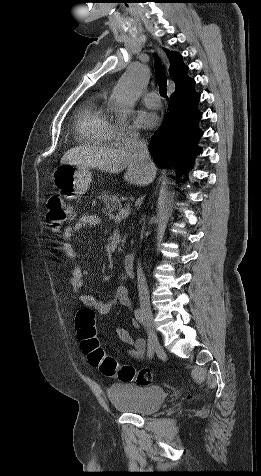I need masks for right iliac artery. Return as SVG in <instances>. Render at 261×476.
<instances>
[{"label":"right iliac artery","instance_id":"82829eb1","mask_svg":"<svg viewBox=\"0 0 261 476\" xmlns=\"http://www.w3.org/2000/svg\"><path fill=\"white\" fill-rule=\"evenodd\" d=\"M134 315H135V318L137 319V321L141 324H143L144 326L146 325V322H145V314H144V311L141 310V309H136L134 311ZM145 334L148 335V356L149 358H152L154 356V346H155V341H154V338L153 336L150 335V331L149 330H146L145 331Z\"/></svg>","mask_w":261,"mask_h":476}]
</instances>
